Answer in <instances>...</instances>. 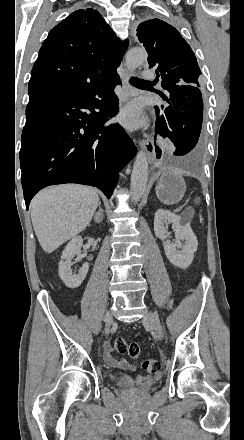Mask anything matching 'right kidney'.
I'll return each mask as SVG.
<instances>
[{
    "label": "right kidney",
    "instance_id": "ca27d5eb",
    "mask_svg": "<svg viewBox=\"0 0 244 440\" xmlns=\"http://www.w3.org/2000/svg\"><path fill=\"white\" fill-rule=\"evenodd\" d=\"M82 246L83 240L81 236L72 238L71 242H69L65 250H63V254L59 262V276L62 282H64L65 286H67V288H73V290L74 288H79V286H81L89 270V264H83L78 274H73V270L71 268V266H73L72 260L74 256L81 254Z\"/></svg>",
    "mask_w": 244,
    "mask_h": 440
}]
</instances>
